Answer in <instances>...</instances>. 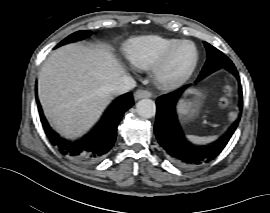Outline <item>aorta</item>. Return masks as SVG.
<instances>
[{"label":"aorta","mask_w":270,"mask_h":213,"mask_svg":"<svg viewBox=\"0 0 270 213\" xmlns=\"http://www.w3.org/2000/svg\"><path fill=\"white\" fill-rule=\"evenodd\" d=\"M136 110L139 116L143 118H152L156 113V105L151 99H142L138 101Z\"/></svg>","instance_id":"obj_1"}]
</instances>
